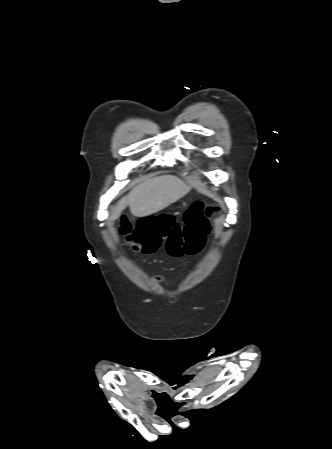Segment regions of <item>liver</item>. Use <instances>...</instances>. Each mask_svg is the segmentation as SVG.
Here are the masks:
<instances>
[{
	"instance_id": "6515ba94",
	"label": "liver",
	"mask_w": 332,
	"mask_h": 449,
	"mask_svg": "<svg viewBox=\"0 0 332 449\" xmlns=\"http://www.w3.org/2000/svg\"><path fill=\"white\" fill-rule=\"evenodd\" d=\"M190 191L182 180L166 175L148 180L130 191L112 208L111 220H116L129 206L133 216L156 213L184 197Z\"/></svg>"
}]
</instances>
